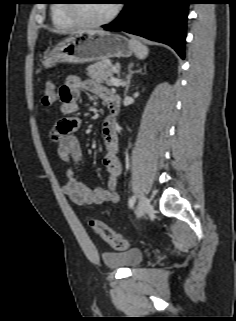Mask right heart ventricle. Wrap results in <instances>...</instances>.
Instances as JSON below:
<instances>
[{"label": "right heart ventricle", "instance_id": "1", "mask_svg": "<svg viewBox=\"0 0 236 321\" xmlns=\"http://www.w3.org/2000/svg\"><path fill=\"white\" fill-rule=\"evenodd\" d=\"M69 0H58L51 8V18L53 24L58 28H71L77 26L78 23L75 21L68 12Z\"/></svg>", "mask_w": 236, "mask_h": 321}]
</instances>
